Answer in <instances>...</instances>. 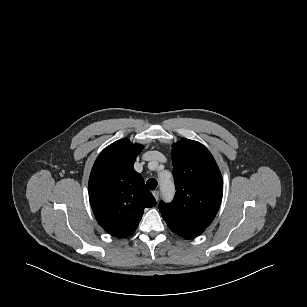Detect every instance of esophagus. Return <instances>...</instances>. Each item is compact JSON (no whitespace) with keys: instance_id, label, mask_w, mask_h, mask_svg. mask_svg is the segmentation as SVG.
I'll return each instance as SVG.
<instances>
[{"instance_id":"obj_1","label":"esophagus","mask_w":307,"mask_h":307,"mask_svg":"<svg viewBox=\"0 0 307 307\" xmlns=\"http://www.w3.org/2000/svg\"><path fill=\"white\" fill-rule=\"evenodd\" d=\"M152 194H153V196L155 197L156 200L159 199V191H157V190L153 191Z\"/></svg>"}]
</instances>
